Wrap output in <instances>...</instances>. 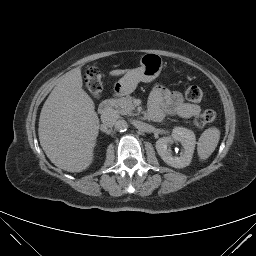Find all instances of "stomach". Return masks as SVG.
<instances>
[{
    "instance_id": "0dacf381",
    "label": "stomach",
    "mask_w": 256,
    "mask_h": 256,
    "mask_svg": "<svg viewBox=\"0 0 256 256\" xmlns=\"http://www.w3.org/2000/svg\"><path fill=\"white\" fill-rule=\"evenodd\" d=\"M140 67L132 69L114 85V90L118 95H128L132 93L138 83L151 82L156 79L162 71L163 61L161 57L154 53H146L140 59Z\"/></svg>"
}]
</instances>
